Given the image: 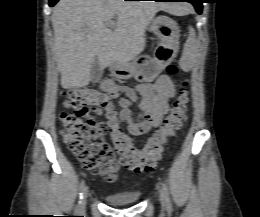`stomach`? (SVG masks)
Here are the masks:
<instances>
[{
  "label": "stomach",
  "instance_id": "stomach-1",
  "mask_svg": "<svg viewBox=\"0 0 260 217\" xmlns=\"http://www.w3.org/2000/svg\"><path fill=\"white\" fill-rule=\"evenodd\" d=\"M150 29L160 39L153 57L143 56L126 65L119 62L114 64L116 77L121 79L134 77L141 83L152 82L177 56L179 31L176 23L169 17L161 15L152 21Z\"/></svg>",
  "mask_w": 260,
  "mask_h": 217
}]
</instances>
